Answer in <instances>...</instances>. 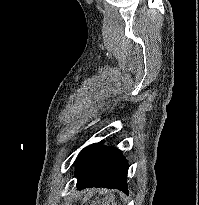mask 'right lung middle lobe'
<instances>
[{
    "label": "right lung middle lobe",
    "mask_w": 199,
    "mask_h": 205,
    "mask_svg": "<svg viewBox=\"0 0 199 205\" xmlns=\"http://www.w3.org/2000/svg\"><path fill=\"white\" fill-rule=\"evenodd\" d=\"M103 144V142H99V143H94L86 148H84L80 154L78 155L77 159L75 162L79 161L81 158H83L84 156H86L88 153H90L91 151H93L94 149L98 148L99 146H101Z\"/></svg>",
    "instance_id": "obj_1"
}]
</instances>
